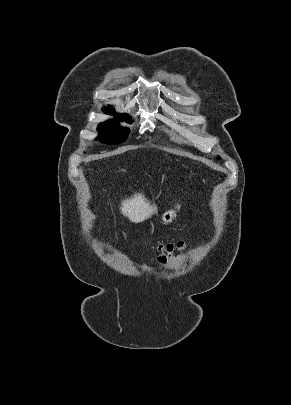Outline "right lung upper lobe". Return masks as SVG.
I'll use <instances>...</instances> for the list:
<instances>
[{
    "label": "right lung upper lobe",
    "mask_w": 291,
    "mask_h": 405,
    "mask_svg": "<svg viewBox=\"0 0 291 405\" xmlns=\"http://www.w3.org/2000/svg\"><path fill=\"white\" fill-rule=\"evenodd\" d=\"M104 113H115V111L111 107H104L103 108Z\"/></svg>",
    "instance_id": "cb5924a9"
}]
</instances>
